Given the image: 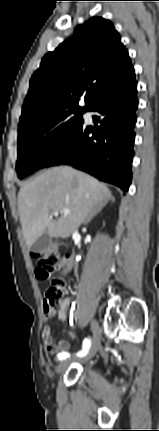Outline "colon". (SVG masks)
Segmentation results:
<instances>
[{"label": "colon", "mask_w": 159, "mask_h": 431, "mask_svg": "<svg viewBox=\"0 0 159 431\" xmlns=\"http://www.w3.org/2000/svg\"><path fill=\"white\" fill-rule=\"evenodd\" d=\"M34 258L36 263V275L40 279L50 277L59 264V255L53 248H46L35 253ZM65 286L66 282L63 277L56 276L52 279L51 285L44 294V306L47 312H53L58 308L64 296ZM65 335L72 342L78 339V336L72 329H68Z\"/></svg>", "instance_id": "colon-1"}]
</instances>
